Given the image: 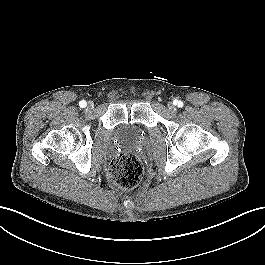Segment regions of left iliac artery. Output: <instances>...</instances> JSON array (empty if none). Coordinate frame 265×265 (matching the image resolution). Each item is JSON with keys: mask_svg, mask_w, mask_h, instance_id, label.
Segmentation results:
<instances>
[{"mask_svg": "<svg viewBox=\"0 0 265 265\" xmlns=\"http://www.w3.org/2000/svg\"><path fill=\"white\" fill-rule=\"evenodd\" d=\"M177 104H178V106H181L182 102L181 101H177Z\"/></svg>", "mask_w": 265, "mask_h": 265, "instance_id": "left-iliac-artery-1", "label": "left iliac artery"}]
</instances>
